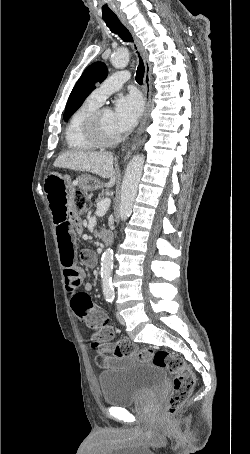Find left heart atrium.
I'll return each instance as SVG.
<instances>
[{"mask_svg":"<svg viewBox=\"0 0 250 454\" xmlns=\"http://www.w3.org/2000/svg\"><path fill=\"white\" fill-rule=\"evenodd\" d=\"M144 109V102L138 92H131L116 100L114 126L120 133L131 130L138 122Z\"/></svg>","mask_w":250,"mask_h":454,"instance_id":"left-heart-atrium-1","label":"left heart atrium"}]
</instances>
